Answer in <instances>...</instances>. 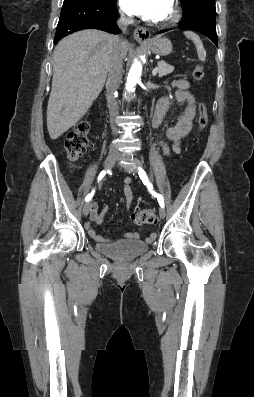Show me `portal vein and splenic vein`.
Returning a JSON list of instances; mask_svg holds the SVG:
<instances>
[{
	"mask_svg": "<svg viewBox=\"0 0 254 397\" xmlns=\"http://www.w3.org/2000/svg\"><path fill=\"white\" fill-rule=\"evenodd\" d=\"M157 67L153 70V75H155L157 73Z\"/></svg>",
	"mask_w": 254,
	"mask_h": 397,
	"instance_id": "portal-vein-and-splenic-vein-1",
	"label": "portal vein and splenic vein"
}]
</instances>
